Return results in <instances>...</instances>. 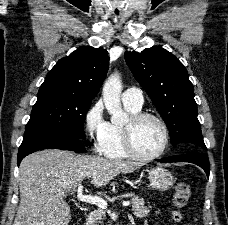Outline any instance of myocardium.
Returning <instances> with one entry per match:
<instances>
[{"mask_svg":"<svg viewBox=\"0 0 228 225\" xmlns=\"http://www.w3.org/2000/svg\"><path fill=\"white\" fill-rule=\"evenodd\" d=\"M146 119L156 120L158 123H160L164 131L163 146L159 152L153 155H145L141 153L135 143V129L141 122H143ZM123 133H124V143L127 151L133 157L141 160L151 161V160L160 158L166 152L170 142V130L167 123L160 116L153 113L138 112L133 114L130 117L128 123L124 126Z\"/></svg>","mask_w":228,"mask_h":225,"instance_id":"myocardium-1","label":"myocardium"}]
</instances>
